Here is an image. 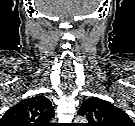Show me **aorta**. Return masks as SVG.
<instances>
[{
	"label": "aorta",
	"instance_id": "obj_1",
	"mask_svg": "<svg viewBox=\"0 0 135 126\" xmlns=\"http://www.w3.org/2000/svg\"><path fill=\"white\" fill-rule=\"evenodd\" d=\"M76 121H81V122H83V121H85V119H84V118H77Z\"/></svg>",
	"mask_w": 135,
	"mask_h": 126
}]
</instances>
